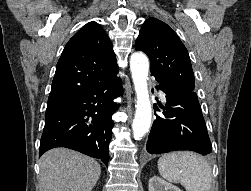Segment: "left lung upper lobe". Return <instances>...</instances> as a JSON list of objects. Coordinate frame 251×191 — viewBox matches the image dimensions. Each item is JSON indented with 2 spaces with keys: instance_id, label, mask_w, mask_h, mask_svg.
<instances>
[{
  "instance_id": "left-lung-upper-lobe-1",
  "label": "left lung upper lobe",
  "mask_w": 251,
  "mask_h": 191,
  "mask_svg": "<svg viewBox=\"0 0 251 191\" xmlns=\"http://www.w3.org/2000/svg\"><path fill=\"white\" fill-rule=\"evenodd\" d=\"M135 48L147 54L151 74L159 83L173 90L194 91L195 78L187 49L166 23L147 19Z\"/></svg>"
}]
</instances>
